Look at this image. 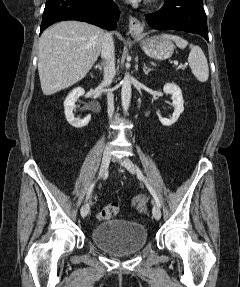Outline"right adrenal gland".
Masks as SVG:
<instances>
[{"mask_svg": "<svg viewBox=\"0 0 240 287\" xmlns=\"http://www.w3.org/2000/svg\"><path fill=\"white\" fill-rule=\"evenodd\" d=\"M95 69H99L100 71H102L103 70V65L97 64V65H95Z\"/></svg>", "mask_w": 240, "mask_h": 287, "instance_id": "2a0ac1e0", "label": "right adrenal gland"}]
</instances>
